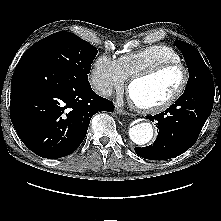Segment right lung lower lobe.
<instances>
[{
	"label": "right lung lower lobe",
	"mask_w": 221,
	"mask_h": 221,
	"mask_svg": "<svg viewBox=\"0 0 221 221\" xmlns=\"http://www.w3.org/2000/svg\"><path fill=\"white\" fill-rule=\"evenodd\" d=\"M113 110V103L97 95L88 81L29 57L17 64L11 82V121L22 142L41 157L73 153L91 117Z\"/></svg>",
	"instance_id": "98d812e1"
}]
</instances>
